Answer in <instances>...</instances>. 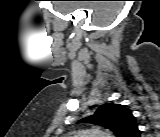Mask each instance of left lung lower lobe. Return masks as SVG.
<instances>
[{
	"mask_svg": "<svg viewBox=\"0 0 160 137\" xmlns=\"http://www.w3.org/2000/svg\"><path fill=\"white\" fill-rule=\"evenodd\" d=\"M140 136V132L138 130V127L130 134L129 137H139Z\"/></svg>",
	"mask_w": 160,
	"mask_h": 137,
	"instance_id": "obj_1",
	"label": "left lung lower lobe"
}]
</instances>
